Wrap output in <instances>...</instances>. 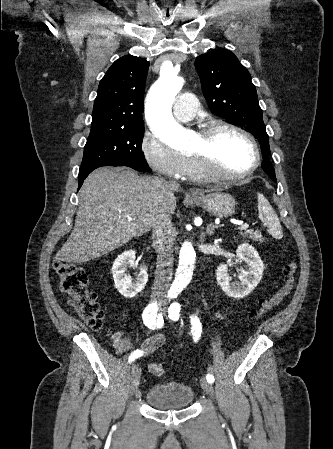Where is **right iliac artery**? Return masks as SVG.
<instances>
[{
	"instance_id": "1",
	"label": "right iliac artery",
	"mask_w": 333,
	"mask_h": 449,
	"mask_svg": "<svg viewBox=\"0 0 333 449\" xmlns=\"http://www.w3.org/2000/svg\"><path fill=\"white\" fill-rule=\"evenodd\" d=\"M157 311H158V305L155 302V303L149 304L143 312L144 324L150 329L162 328V326L164 324L162 314H157ZM142 355H143L142 350L137 349V350L133 351L131 353V355L129 356V362L134 361L135 359L141 357Z\"/></svg>"
}]
</instances>
